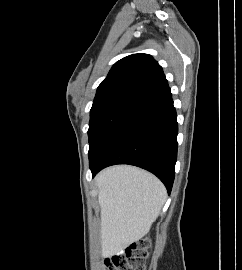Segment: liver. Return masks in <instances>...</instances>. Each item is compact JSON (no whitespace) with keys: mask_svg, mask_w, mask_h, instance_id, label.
Masks as SVG:
<instances>
[{"mask_svg":"<svg viewBox=\"0 0 242 270\" xmlns=\"http://www.w3.org/2000/svg\"><path fill=\"white\" fill-rule=\"evenodd\" d=\"M101 208V240L108 253H115L146 235L166 200L159 179L142 169L119 165L96 177Z\"/></svg>","mask_w":242,"mask_h":270,"instance_id":"obj_1","label":"liver"}]
</instances>
